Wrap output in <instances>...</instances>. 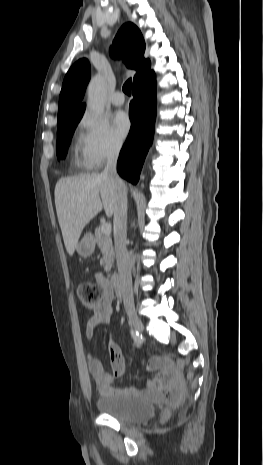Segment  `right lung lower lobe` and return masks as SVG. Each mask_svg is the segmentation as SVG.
<instances>
[{
    "label": "right lung lower lobe",
    "instance_id": "98d812e1",
    "mask_svg": "<svg viewBox=\"0 0 263 465\" xmlns=\"http://www.w3.org/2000/svg\"><path fill=\"white\" fill-rule=\"evenodd\" d=\"M130 102L131 129L119 155L117 171L133 184L139 180L142 165L152 144L156 118L155 73L133 84Z\"/></svg>",
    "mask_w": 263,
    "mask_h": 465
}]
</instances>
